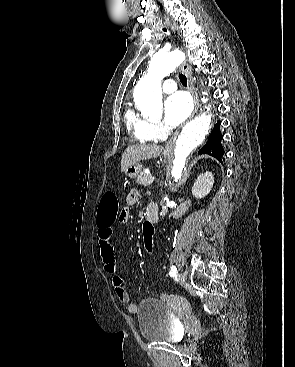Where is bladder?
<instances>
[{
  "label": "bladder",
  "mask_w": 295,
  "mask_h": 367,
  "mask_svg": "<svg viewBox=\"0 0 295 367\" xmlns=\"http://www.w3.org/2000/svg\"><path fill=\"white\" fill-rule=\"evenodd\" d=\"M139 330L142 338L149 342L177 343L182 330L167 305L157 299H144L137 311Z\"/></svg>",
  "instance_id": "bladder-1"
}]
</instances>
